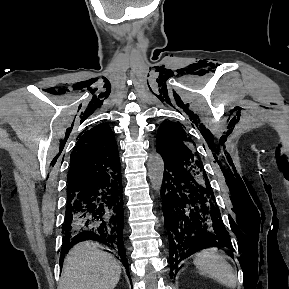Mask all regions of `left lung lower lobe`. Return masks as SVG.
<instances>
[{
    "label": "left lung lower lobe",
    "instance_id": "obj_1",
    "mask_svg": "<svg viewBox=\"0 0 289 289\" xmlns=\"http://www.w3.org/2000/svg\"><path fill=\"white\" fill-rule=\"evenodd\" d=\"M164 168L161 197L173 277L195 252L214 246L232 250V245L211 185L183 167L164 161Z\"/></svg>",
    "mask_w": 289,
    "mask_h": 289
}]
</instances>
